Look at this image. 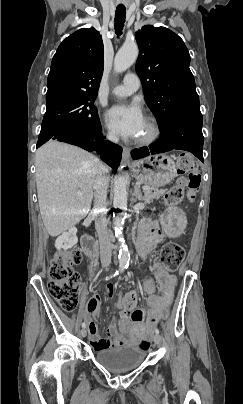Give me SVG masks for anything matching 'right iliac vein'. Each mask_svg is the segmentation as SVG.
<instances>
[{
  "mask_svg": "<svg viewBox=\"0 0 243 404\" xmlns=\"http://www.w3.org/2000/svg\"><path fill=\"white\" fill-rule=\"evenodd\" d=\"M80 333H81V336H82V337H85V336L87 335V331H86L85 328H83V329L80 331Z\"/></svg>",
  "mask_w": 243,
  "mask_h": 404,
  "instance_id": "63e3f726",
  "label": "right iliac vein"
}]
</instances>
